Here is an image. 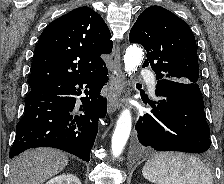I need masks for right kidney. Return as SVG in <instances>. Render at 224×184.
Listing matches in <instances>:
<instances>
[{
  "label": "right kidney",
  "instance_id": "1",
  "mask_svg": "<svg viewBox=\"0 0 224 184\" xmlns=\"http://www.w3.org/2000/svg\"><path fill=\"white\" fill-rule=\"evenodd\" d=\"M46 184H81L80 180L72 174L60 175L52 178Z\"/></svg>",
  "mask_w": 224,
  "mask_h": 184
}]
</instances>
